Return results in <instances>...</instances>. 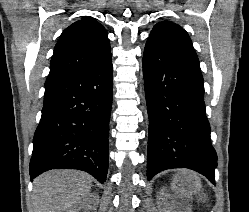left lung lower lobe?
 Returning a JSON list of instances; mask_svg holds the SVG:
<instances>
[{"label": "left lung lower lobe", "instance_id": "left-lung-lower-lobe-1", "mask_svg": "<svg viewBox=\"0 0 249 212\" xmlns=\"http://www.w3.org/2000/svg\"><path fill=\"white\" fill-rule=\"evenodd\" d=\"M143 75L149 117L147 177L189 168L214 183L217 155L206 118L199 63L152 47L144 50Z\"/></svg>", "mask_w": 249, "mask_h": 212}]
</instances>
